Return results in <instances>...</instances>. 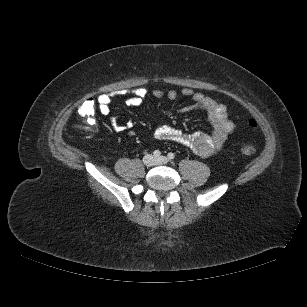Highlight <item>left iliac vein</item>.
<instances>
[{
	"instance_id": "4c4485c4",
	"label": "left iliac vein",
	"mask_w": 307,
	"mask_h": 307,
	"mask_svg": "<svg viewBox=\"0 0 307 307\" xmlns=\"http://www.w3.org/2000/svg\"><path fill=\"white\" fill-rule=\"evenodd\" d=\"M169 159L165 156H161L156 159V164L161 165V164H167Z\"/></svg>"
}]
</instances>
